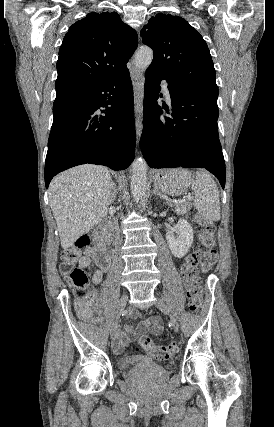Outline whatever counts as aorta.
Segmentation results:
<instances>
[{
	"label": "aorta",
	"instance_id": "1",
	"mask_svg": "<svg viewBox=\"0 0 274 427\" xmlns=\"http://www.w3.org/2000/svg\"><path fill=\"white\" fill-rule=\"evenodd\" d=\"M153 51L151 48L143 46L135 54V66L141 71H145L151 64ZM147 162L143 157H138L132 163L131 193L135 200L143 197L147 189Z\"/></svg>",
	"mask_w": 274,
	"mask_h": 427
}]
</instances>
